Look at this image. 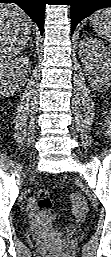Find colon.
I'll return each instance as SVG.
<instances>
[{
	"instance_id": "5ec220e1",
	"label": "colon",
	"mask_w": 111,
	"mask_h": 257,
	"mask_svg": "<svg viewBox=\"0 0 111 257\" xmlns=\"http://www.w3.org/2000/svg\"><path fill=\"white\" fill-rule=\"evenodd\" d=\"M37 207L41 213L46 214L50 218H53V214L51 213L53 203L47 190L41 189L38 192Z\"/></svg>"
}]
</instances>
